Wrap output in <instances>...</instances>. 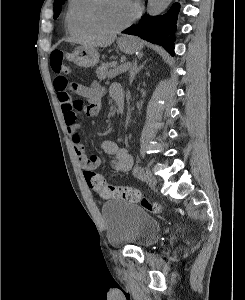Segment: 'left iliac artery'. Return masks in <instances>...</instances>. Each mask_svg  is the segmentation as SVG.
<instances>
[{"instance_id": "left-iliac-artery-1", "label": "left iliac artery", "mask_w": 245, "mask_h": 300, "mask_svg": "<svg viewBox=\"0 0 245 300\" xmlns=\"http://www.w3.org/2000/svg\"><path fill=\"white\" fill-rule=\"evenodd\" d=\"M133 173L139 179L144 178V170L142 167H135Z\"/></svg>"}]
</instances>
